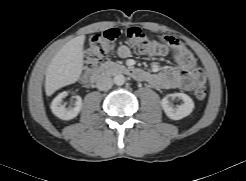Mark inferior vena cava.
<instances>
[{
	"instance_id": "602c4592",
	"label": "inferior vena cava",
	"mask_w": 246,
	"mask_h": 181,
	"mask_svg": "<svg viewBox=\"0 0 246 181\" xmlns=\"http://www.w3.org/2000/svg\"><path fill=\"white\" fill-rule=\"evenodd\" d=\"M113 85V80L110 76L101 75L96 81V87L100 91H107Z\"/></svg>"
}]
</instances>
